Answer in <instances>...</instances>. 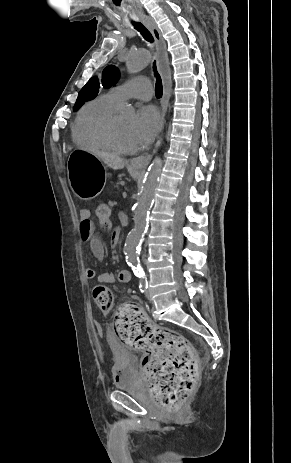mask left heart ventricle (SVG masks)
<instances>
[{"instance_id": "b2bd125f", "label": "left heart ventricle", "mask_w": 291, "mask_h": 463, "mask_svg": "<svg viewBox=\"0 0 291 463\" xmlns=\"http://www.w3.org/2000/svg\"><path fill=\"white\" fill-rule=\"evenodd\" d=\"M132 120L125 117L116 118V133L118 142L125 148H136V143L131 135Z\"/></svg>"}]
</instances>
